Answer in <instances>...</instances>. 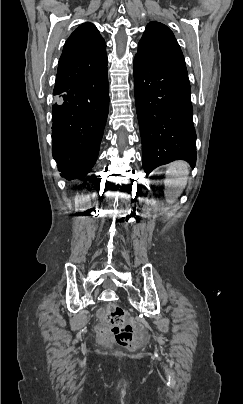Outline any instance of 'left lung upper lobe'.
<instances>
[{"mask_svg": "<svg viewBox=\"0 0 243 404\" xmlns=\"http://www.w3.org/2000/svg\"><path fill=\"white\" fill-rule=\"evenodd\" d=\"M136 56L160 68L187 73L180 46L172 31L162 23L152 21L147 25Z\"/></svg>", "mask_w": 243, "mask_h": 404, "instance_id": "5c2ea615", "label": "left lung upper lobe"}]
</instances>
